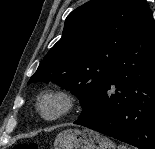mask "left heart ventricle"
<instances>
[{
  "label": "left heart ventricle",
  "instance_id": "1",
  "mask_svg": "<svg viewBox=\"0 0 155 149\" xmlns=\"http://www.w3.org/2000/svg\"><path fill=\"white\" fill-rule=\"evenodd\" d=\"M59 103L56 101H46L43 105L44 110L48 114H54L59 110Z\"/></svg>",
  "mask_w": 155,
  "mask_h": 149
}]
</instances>
